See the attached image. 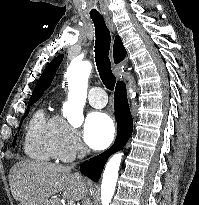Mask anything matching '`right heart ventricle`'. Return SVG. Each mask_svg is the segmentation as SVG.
<instances>
[{"label": "right heart ventricle", "instance_id": "right-heart-ventricle-1", "mask_svg": "<svg viewBox=\"0 0 199 205\" xmlns=\"http://www.w3.org/2000/svg\"><path fill=\"white\" fill-rule=\"evenodd\" d=\"M54 132V119L48 118L42 109L36 111L25 134V154L34 160L42 162H47L54 158Z\"/></svg>", "mask_w": 199, "mask_h": 205}]
</instances>
